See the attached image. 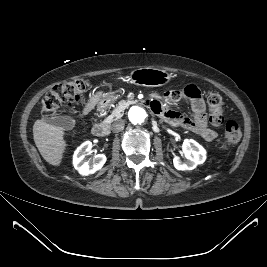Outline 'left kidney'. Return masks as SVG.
Masks as SVG:
<instances>
[{
	"label": "left kidney",
	"instance_id": "left-kidney-1",
	"mask_svg": "<svg viewBox=\"0 0 267 267\" xmlns=\"http://www.w3.org/2000/svg\"><path fill=\"white\" fill-rule=\"evenodd\" d=\"M182 148L187 161L183 162L180 157L175 156L173 164L177 170H193L197 165L202 164L206 160L205 149L195 140L185 139Z\"/></svg>",
	"mask_w": 267,
	"mask_h": 267
}]
</instances>
